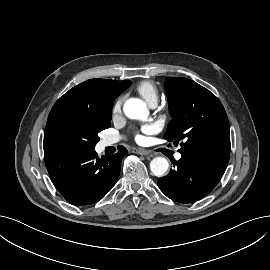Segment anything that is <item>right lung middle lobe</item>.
<instances>
[{
  "label": "right lung middle lobe",
  "mask_w": 270,
  "mask_h": 270,
  "mask_svg": "<svg viewBox=\"0 0 270 270\" xmlns=\"http://www.w3.org/2000/svg\"><path fill=\"white\" fill-rule=\"evenodd\" d=\"M111 113L62 112L47 121L44 154L85 153L93 151L98 133L111 125Z\"/></svg>",
  "instance_id": "right-lung-middle-lobe-1"
}]
</instances>
